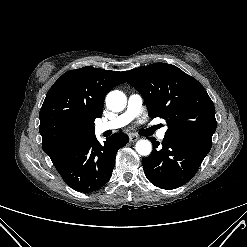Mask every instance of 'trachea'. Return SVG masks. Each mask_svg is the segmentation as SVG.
I'll return each instance as SVG.
<instances>
[{
    "mask_svg": "<svg viewBox=\"0 0 247 247\" xmlns=\"http://www.w3.org/2000/svg\"><path fill=\"white\" fill-rule=\"evenodd\" d=\"M153 130H154V129H153ZM153 130H149V132H150V133H152V132H153Z\"/></svg>",
    "mask_w": 247,
    "mask_h": 247,
    "instance_id": "3493384b",
    "label": "trachea"
}]
</instances>
